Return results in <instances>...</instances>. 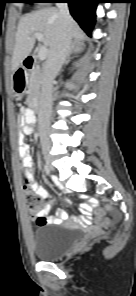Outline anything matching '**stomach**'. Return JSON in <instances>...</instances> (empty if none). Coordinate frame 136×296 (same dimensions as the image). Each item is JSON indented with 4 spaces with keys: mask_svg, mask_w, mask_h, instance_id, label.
I'll list each match as a JSON object with an SVG mask.
<instances>
[{
    "mask_svg": "<svg viewBox=\"0 0 136 296\" xmlns=\"http://www.w3.org/2000/svg\"><path fill=\"white\" fill-rule=\"evenodd\" d=\"M24 85H13L10 94H24Z\"/></svg>",
    "mask_w": 136,
    "mask_h": 296,
    "instance_id": "1",
    "label": "stomach"
}]
</instances>
